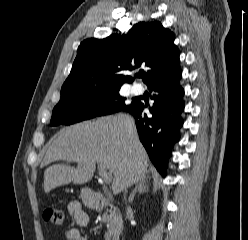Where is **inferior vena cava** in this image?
<instances>
[{"mask_svg":"<svg viewBox=\"0 0 248 240\" xmlns=\"http://www.w3.org/2000/svg\"><path fill=\"white\" fill-rule=\"evenodd\" d=\"M127 193V190L125 189V194ZM125 194H124V198H125Z\"/></svg>","mask_w":248,"mask_h":240,"instance_id":"602c4592","label":"inferior vena cava"}]
</instances>
